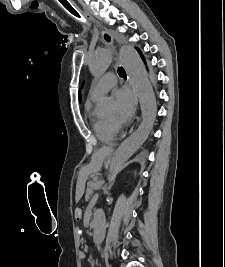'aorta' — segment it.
Wrapping results in <instances>:
<instances>
[{
    "label": "aorta",
    "instance_id": "1",
    "mask_svg": "<svg viewBox=\"0 0 225 267\" xmlns=\"http://www.w3.org/2000/svg\"><path fill=\"white\" fill-rule=\"evenodd\" d=\"M120 61L127 73L129 82L134 92L139 97L142 109V122L138 129L127 138L115 152L109 168V177L114 178L128 159L142 146L148 138L150 130L156 119V98L152 86L146 75L142 60L132 45H123L119 51ZM112 58L108 49L99 50L89 61V69L95 76H101L111 64ZM111 101L103 98L99 102L100 108H107ZM95 244L102 242L105 236V213L102 209L94 212Z\"/></svg>",
    "mask_w": 225,
    "mask_h": 267
}]
</instances>
